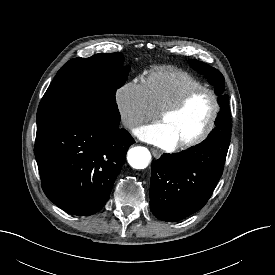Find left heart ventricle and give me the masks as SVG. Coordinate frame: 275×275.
Returning a JSON list of instances; mask_svg holds the SVG:
<instances>
[{
    "label": "left heart ventricle",
    "instance_id": "obj_1",
    "mask_svg": "<svg viewBox=\"0 0 275 275\" xmlns=\"http://www.w3.org/2000/svg\"><path fill=\"white\" fill-rule=\"evenodd\" d=\"M213 109L208 93H199L191 98L178 112L160 120L171 132L177 143L197 136L206 126Z\"/></svg>",
    "mask_w": 275,
    "mask_h": 275
}]
</instances>
